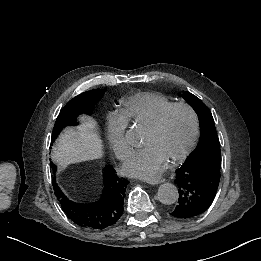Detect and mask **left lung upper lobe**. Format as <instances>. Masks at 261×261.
<instances>
[{"mask_svg": "<svg viewBox=\"0 0 261 261\" xmlns=\"http://www.w3.org/2000/svg\"><path fill=\"white\" fill-rule=\"evenodd\" d=\"M182 97L195 110L201 125L198 145L184 165L197 167L201 164H213L221 167L220 144L210 110L199 98L189 92L182 94Z\"/></svg>", "mask_w": 261, "mask_h": 261, "instance_id": "1", "label": "left lung upper lobe"}]
</instances>
